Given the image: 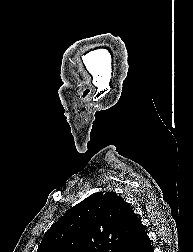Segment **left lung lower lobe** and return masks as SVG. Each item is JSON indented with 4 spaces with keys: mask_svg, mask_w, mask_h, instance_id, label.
<instances>
[{
    "mask_svg": "<svg viewBox=\"0 0 193 252\" xmlns=\"http://www.w3.org/2000/svg\"><path fill=\"white\" fill-rule=\"evenodd\" d=\"M123 252H154L147 233L140 222Z\"/></svg>",
    "mask_w": 193,
    "mask_h": 252,
    "instance_id": "1",
    "label": "left lung lower lobe"
}]
</instances>
